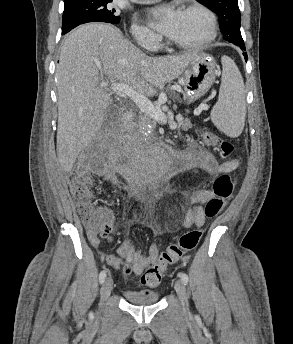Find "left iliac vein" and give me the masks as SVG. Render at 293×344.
Instances as JSON below:
<instances>
[{
	"instance_id": "obj_1",
	"label": "left iliac vein",
	"mask_w": 293,
	"mask_h": 344,
	"mask_svg": "<svg viewBox=\"0 0 293 344\" xmlns=\"http://www.w3.org/2000/svg\"><path fill=\"white\" fill-rule=\"evenodd\" d=\"M175 291L181 302L182 308L186 314H189V305L187 299V293L184 283L181 280H176L174 285Z\"/></svg>"
}]
</instances>
